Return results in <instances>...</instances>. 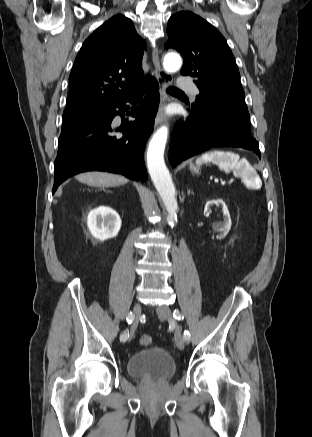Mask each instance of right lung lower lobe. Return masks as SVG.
I'll use <instances>...</instances> for the list:
<instances>
[{"mask_svg": "<svg viewBox=\"0 0 312 437\" xmlns=\"http://www.w3.org/2000/svg\"><path fill=\"white\" fill-rule=\"evenodd\" d=\"M145 92L148 95L138 108L132 110L135 121L114 127L113 118L119 114L123 119L129 108L125 103H137V97ZM158 103L157 81L146 80L137 90L106 108L100 118L62 132L54 163L53 193L66 179L85 171H108L132 180L146 181L143 152L153 131Z\"/></svg>", "mask_w": 312, "mask_h": 437, "instance_id": "1", "label": "right lung lower lobe"}]
</instances>
